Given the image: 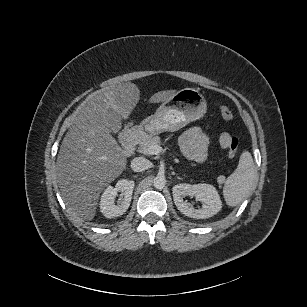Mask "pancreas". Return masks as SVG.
Segmentation results:
<instances>
[{
    "mask_svg": "<svg viewBox=\"0 0 307 307\" xmlns=\"http://www.w3.org/2000/svg\"><path fill=\"white\" fill-rule=\"evenodd\" d=\"M160 138L158 135L155 136H146L141 141L137 142L136 144L139 146L138 151L143 153L146 156H152L153 153L150 148L156 144H160Z\"/></svg>",
    "mask_w": 307,
    "mask_h": 307,
    "instance_id": "1",
    "label": "pancreas"
}]
</instances>
